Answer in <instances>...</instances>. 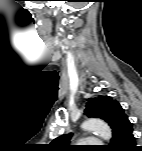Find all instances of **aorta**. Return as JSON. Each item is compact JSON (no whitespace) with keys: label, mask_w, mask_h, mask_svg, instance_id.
<instances>
[{"label":"aorta","mask_w":142,"mask_h":151,"mask_svg":"<svg viewBox=\"0 0 142 151\" xmlns=\"http://www.w3.org/2000/svg\"><path fill=\"white\" fill-rule=\"evenodd\" d=\"M84 131L96 132L103 140L110 141L112 131L107 123L100 119L89 118L81 124Z\"/></svg>","instance_id":"1"}]
</instances>
